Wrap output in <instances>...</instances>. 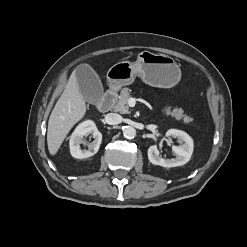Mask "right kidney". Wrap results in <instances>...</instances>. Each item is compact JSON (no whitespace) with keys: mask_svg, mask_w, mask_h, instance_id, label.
Here are the masks:
<instances>
[{"mask_svg":"<svg viewBox=\"0 0 247 247\" xmlns=\"http://www.w3.org/2000/svg\"><path fill=\"white\" fill-rule=\"evenodd\" d=\"M92 134L94 141L88 144V149H81L80 144L85 143L84 138ZM102 141V134L98 131L95 123L86 120L79 124L70 138V153L74 158L84 159L97 153Z\"/></svg>","mask_w":247,"mask_h":247,"instance_id":"ca27d5eb","label":"right kidney"}]
</instances>
